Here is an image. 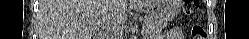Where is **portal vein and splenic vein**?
I'll list each match as a JSON object with an SVG mask.
<instances>
[{
  "mask_svg": "<svg viewBox=\"0 0 249 39\" xmlns=\"http://www.w3.org/2000/svg\"><path fill=\"white\" fill-rule=\"evenodd\" d=\"M96 24V27H103L105 28L99 21L95 23Z\"/></svg>",
  "mask_w": 249,
  "mask_h": 39,
  "instance_id": "1",
  "label": "portal vein and splenic vein"
}]
</instances>
